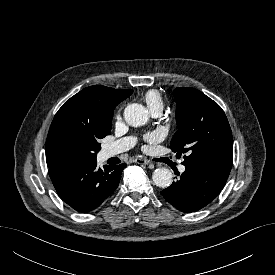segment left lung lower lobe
<instances>
[{
    "label": "left lung lower lobe",
    "instance_id": "0a47b994",
    "mask_svg": "<svg viewBox=\"0 0 275 275\" xmlns=\"http://www.w3.org/2000/svg\"><path fill=\"white\" fill-rule=\"evenodd\" d=\"M180 178L161 191L167 202L190 213L207 206L220 193L230 172L206 166H187ZM179 175V174H178Z\"/></svg>",
    "mask_w": 275,
    "mask_h": 275
}]
</instances>
